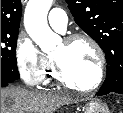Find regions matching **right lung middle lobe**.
<instances>
[{
	"label": "right lung middle lobe",
	"instance_id": "1",
	"mask_svg": "<svg viewBox=\"0 0 123 113\" xmlns=\"http://www.w3.org/2000/svg\"><path fill=\"white\" fill-rule=\"evenodd\" d=\"M19 30L1 31V82L11 83L20 75L16 63Z\"/></svg>",
	"mask_w": 123,
	"mask_h": 113
}]
</instances>
